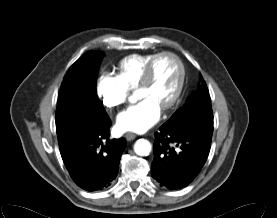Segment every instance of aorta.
<instances>
[{
    "label": "aorta",
    "instance_id": "762f6f07",
    "mask_svg": "<svg viewBox=\"0 0 277 218\" xmlns=\"http://www.w3.org/2000/svg\"><path fill=\"white\" fill-rule=\"evenodd\" d=\"M152 149L151 143L146 139H139L134 144V152L139 156H147Z\"/></svg>",
    "mask_w": 277,
    "mask_h": 218
}]
</instances>
